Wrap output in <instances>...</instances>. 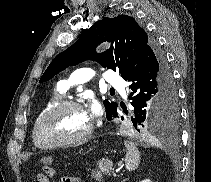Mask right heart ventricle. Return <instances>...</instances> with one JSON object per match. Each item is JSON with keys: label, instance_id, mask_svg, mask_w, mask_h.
Returning <instances> with one entry per match:
<instances>
[{"label": "right heart ventricle", "instance_id": "1", "mask_svg": "<svg viewBox=\"0 0 211 182\" xmlns=\"http://www.w3.org/2000/svg\"><path fill=\"white\" fill-rule=\"evenodd\" d=\"M59 101H60V94L53 96L51 99L48 100V102L44 105V107L41 109V111L35 117V119L32 123V127H31V139H32V142L34 145L38 146L35 141V137H34V128H35V125H36L38 119L41 117V115L43 113H45L48 109H50L52 106H54Z\"/></svg>", "mask_w": 211, "mask_h": 182}]
</instances>
